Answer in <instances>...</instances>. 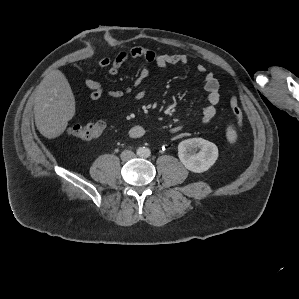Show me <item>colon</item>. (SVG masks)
<instances>
[{"label": "colon", "mask_w": 299, "mask_h": 299, "mask_svg": "<svg viewBox=\"0 0 299 299\" xmlns=\"http://www.w3.org/2000/svg\"><path fill=\"white\" fill-rule=\"evenodd\" d=\"M232 113L234 115L236 125L239 130L243 127V112L237 97L232 96L230 100ZM106 129L105 121L99 120L95 122L79 123L68 127V134L80 139L97 138L104 133Z\"/></svg>", "instance_id": "1"}]
</instances>
